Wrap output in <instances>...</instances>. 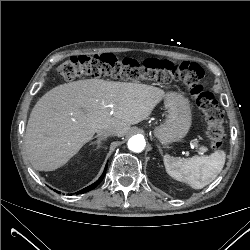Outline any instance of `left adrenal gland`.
Here are the masks:
<instances>
[{"label":"left adrenal gland","mask_w":250,"mask_h":250,"mask_svg":"<svg viewBox=\"0 0 250 250\" xmlns=\"http://www.w3.org/2000/svg\"><path fill=\"white\" fill-rule=\"evenodd\" d=\"M158 148H159V152L162 154V149L158 146Z\"/></svg>","instance_id":"1"}]
</instances>
